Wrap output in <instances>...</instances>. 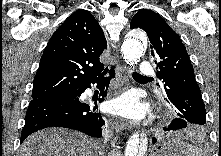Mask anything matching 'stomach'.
Returning <instances> with one entry per match:
<instances>
[{"mask_svg":"<svg viewBox=\"0 0 221 156\" xmlns=\"http://www.w3.org/2000/svg\"><path fill=\"white\" fill-rule=\"evenodd\" d=\"M181 154L179 149L170 141L159 144L151 152V156H181Z\"/></svg>","mask_w":221,"mask_h":156,"instance_id":"1","label":"stomach"}]
</instances>
